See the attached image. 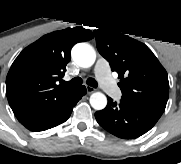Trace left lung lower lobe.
I'll use <instances>...</instances> for the list:
<instances>
[{
  "label": "left lung lower lobe",
  "mask_w": 181,
  "mask_h": 164,
  "mask_svg": "<svg viewBox=\"0 0 181 164\" xmlns=\"http://www.w3.org/2000/svg\"><path fill=\"white\" fill-rule=\"evenodd\" d=\"M162 114L127 101L119 103L108 98L105 109L97 111V122L111 134L123 138L134 139L149 131Z\"/></svg>",
  "instance_id": "0a47b994"
}]
</instances>
